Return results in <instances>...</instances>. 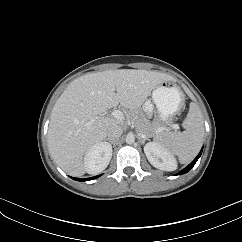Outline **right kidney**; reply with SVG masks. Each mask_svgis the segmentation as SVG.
<instances>
[{"instance_id":"ca27d5eb","label":"right kidney","mask_w":242,"mask_h":242,"mask_svg":"<svg viewBox=\"0 0 242 242\" xmlns=\"http://www.w3.org/2000/svg\"><path fill=\"white\" fill-rule=\"evenodd\" d=\"M112 146L107 142L93 145L85 154L84 167L89 174L102 172L109 164L112 157Z\"/></svg>"}]
</instances>
